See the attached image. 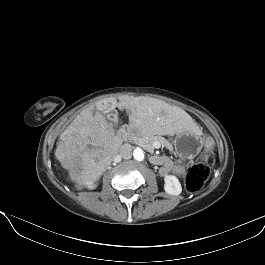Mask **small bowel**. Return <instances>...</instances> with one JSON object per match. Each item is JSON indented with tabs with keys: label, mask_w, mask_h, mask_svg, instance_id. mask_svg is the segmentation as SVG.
I'll return each instance as SVG.
<instances>
[{
	"label": "small bowel",
	"mask_w": 265,
	"mask_h": 265,
	"mask_svg": "<svg viewBox=\"0 0 265 265\" xmlns=\"http://www.w3.org/2000/svg\"><path fill=\"white\" fill-rule=\"evenodd\" d=\"M154 160L155 163L159 164L160 170L159 173L162 176H166L167 174L173 172L177 175H182L184 172V165L181 162H174L168 157L165 156H157Z\"/></svg>",
	"instance_id": "obj_1"
}]
</instances>
